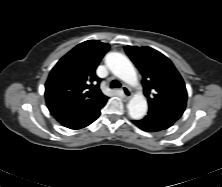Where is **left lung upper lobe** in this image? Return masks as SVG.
<instances>
[{
	"mask_svg": "<svg viewBox=\"0 0 222 187\" xmlns=\"http://www.w3.org/2000/svg\"><path fill=\"white\" fill-rule=\"evenodd\" d=\"M125 52L142 74L149 107L186 106L185 83L166 56L150 47L125 46Z\"/></svg>",
	"mask_w": 222,
	"mask_h": 187,
	"instance_id": "5c2ea615",
	"label": "left lung upper lobe"
}]
</instances>
